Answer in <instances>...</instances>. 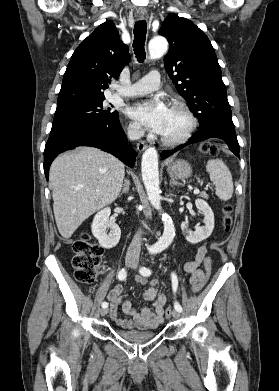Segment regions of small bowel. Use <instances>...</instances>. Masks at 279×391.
<instances>
[{
	"label": "small bowel",
	"instance_id": "1",
	"mask_svg": "<svg viewBox=\"0 0 279 391\" xmlns=\"http://www.w3.org/2000/svg\"><path fill=\"white\" fill-rule=\"evenodd\" d=\"M207 248L206 245L199 247L194 259L184 264V270L191 275L190 284L200 280L204 272L200 269V266L205 267ZM136 282L140 285L147 283L146 278L138 277ZM157 281L151 282V287L145 290L143 297L145 300L153 301V309L143 307L139 311L133 308L130 300L124 299L123 286L121 284L116 285L109 293V312L112 321L118 326L126 329H139L147 330L158 327L163 322L164 306L167 298L164 294L158 293ZM122 304V311L126 317L122 318L118 315V306Z\"/></svg>",
	"mask_w": 279,
	"mask_h": 391
}]
</instances>
